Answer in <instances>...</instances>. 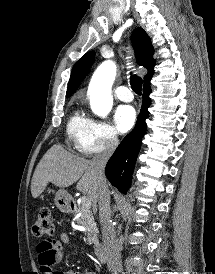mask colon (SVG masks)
Returning <instances> with one entry per match:
<instances>
[{
  "mask_svg": "<svg viewBox=\"0 0 215 274\" xmlns=\"http://www.w3.org/2000/svg\"><path fill=\"white\" fill-rule=\"evenodd\" d=\"M33 234L42 241H50L55 233L54 224L48 207L40 208L36 221L32 227Z\"/></svg>",
  "mask_w": 215,
  "mask_h": 274,
  "instance_id": "colon-1",
  "label": "colon"
}]
</instances>
